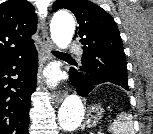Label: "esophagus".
<instances>
[{
  "label": "esophagus",
  "mask_w": 153,
  "mask_h": 134,
  "mask_svg": "<svg viewBox=\"0 0 153 134\" xmlns=\"http://www.w3.org/2000/svg\"><path fill=\"white\" fill-rule=\"evenodd\" d=\"M41 28L43 32V45L41 47V53L45 56L47 60L52 59L51 51L55 49L53 42L51 41L49 34L47 32L46 21L43 17L40 18ZM65 91H54L53 98L56 102H61L65 97Z\"/></svg>",
  "instance_id": "esophagus-1"
}]
</instances>
